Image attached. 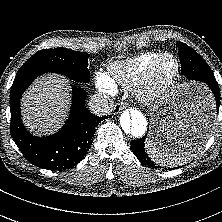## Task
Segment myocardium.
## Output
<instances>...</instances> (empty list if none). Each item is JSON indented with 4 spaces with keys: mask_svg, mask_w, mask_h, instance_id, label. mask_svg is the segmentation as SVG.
<instances>
[{
    "mask_svg": "<svg viewBox=\"0 0 222 222\" xmlns=\"http://www.w3.org/2000/svg\"><path fill=\"white\" fill-rule=\"evenodd\" d=\"M171 58L175 62L172 75L159 81L156 78V69L162 60ZM181 65L179 59L172 53H161L146 69L142 78L135 85V93L139 100L145 103L152 102L164 95L176 82L180 75Z\"/></svg>",
    "mask_w": 222,
    "mask_h": 222,
    "instance_id": "1",
    "label": "myocardium"
}]
</instances>
